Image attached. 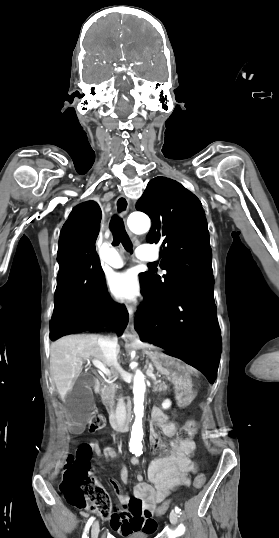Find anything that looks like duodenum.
Here are the masks:
<instances>
[{
    "mask_svg": "<svg viewBox=\"0 0 279 538\" xmlns=\"http://www.w3.org/2000/svg\"><path fill=\"white\" fill-rule=\"evenodd\" d=\"M95 387H98L99 390H102L103 382L99 381V378H96ZM127 403H132V398H127ZM125 408H131V405H125ZM156 409H159V406H156ZM126 417H129V414H126ZM106 422L109 424V427L113 429L122 428V423L124 419L118 418V413L112 412L110 417L106 419ZM112 423V424H111ZM123 428H131V423H123Z\"/></svg>",
    "mask_w": 279,
    "mask_h": 538,
    "instance_id": "1",
    "label": "duodenum"
}]
</instances>
